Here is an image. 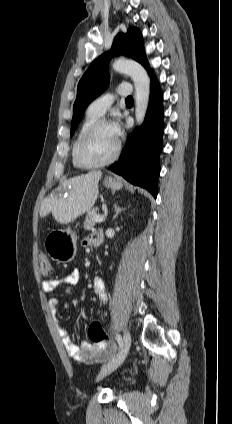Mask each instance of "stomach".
Returning <instances> with one entry per match:
<instances>
[{"label":"stomach","instance_id":"0dacf381","mask_svg":"<svg viewBox=\"0 0 232 424\" xmlns=\"http://www.w3.org/2000/svg\"><path fill=\"white\" fill-rule=\"evenodd\" d=\"M104 186L112 190H120L122 188L121 181L106 177L103 182ZM77 236L71 229L53 230L44 242V247L48 255L58 262H69L76 254Z\"/></svg>","mask_w":232,"mask_h":424}]
</instances>
